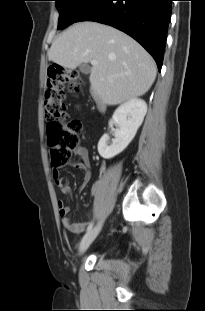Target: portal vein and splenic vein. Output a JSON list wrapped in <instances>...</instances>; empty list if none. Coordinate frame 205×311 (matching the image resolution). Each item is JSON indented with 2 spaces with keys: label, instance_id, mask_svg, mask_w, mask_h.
Listing matches in <instances>:
<instances>
[{
  "label": "portal vein and splenic vein",
  "instance_id": "18ae733b",
  "mask_svg": "<svg viewBox=\"0 0 205 311\" xmlns=\"http://www.w3.org/2000/svg\"><path fill=\"white\" fill-rule=\"evenodd\" d=\"M91 64H92V65H97V64H98V61L92 60V61H91Z\"/></svg>",
  "mask_w": 205,
  "mask_h": 311
}]
</instances>
